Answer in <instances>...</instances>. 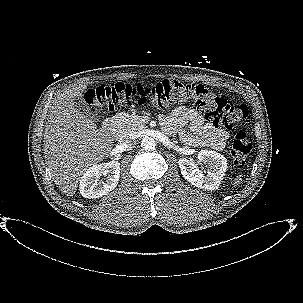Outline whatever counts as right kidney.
Masks as SVG:
<instances>
[{
    "label": "right kidney",
    "mask_w": 303,
    "mask_h": 303,
    "mask_svg": "<svg viewBox=\"0 0 303 303\" xmlns=\"http://www.w3.org/2000/svg\"><path fill=\"white\" fill-rule=\"evenodd\" d=\"M101 175H106L105 181H100ZM120 163L111 161L90 167L81 177L79 190L85 198H99L112 191L118 185Z\"/></svg>",
    "instance_id": "right-kidney-1"
}]
</instances>
